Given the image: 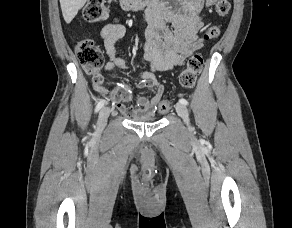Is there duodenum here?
<instances>
[{"mask_svg": "<svg viewBox=\"0 0 292 228\" xmlns=\"http://www.w3.org/2000/svg\"><path fill=\"white\" fill-rule=\"evenodd\" d=\"M158 0H119L121 8L125 11H131L134 9L153 7Z\"/></svg>", "mask_w": 292, "mask_h": 228, "instance_id": "410a0bca", "label": "duodenum"}]
</instances>
